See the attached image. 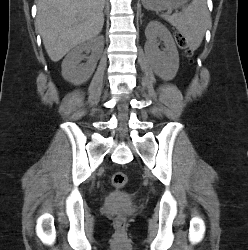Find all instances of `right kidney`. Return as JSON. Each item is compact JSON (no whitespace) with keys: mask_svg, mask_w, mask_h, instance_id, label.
<instances>
[{"mask_svg":"<svg viewBox=\"0 0 248 250\" xmlns=\"http://www.w3.org/2000/svg\"><path fill=\"white\" fill-rule=\"evenodd\" d=\"M103 48L104 37L97 36L72 49L61 65L63 78L74 85H80L86 82L92 76L97 62L102 55ZM89 50H91V55L87 59L86 64H80L84 59L83 52Z\"/></svg>","mask_w":248,"mask_h":250,"instance_id":"1","label":"right kidney"}]
</instances>
